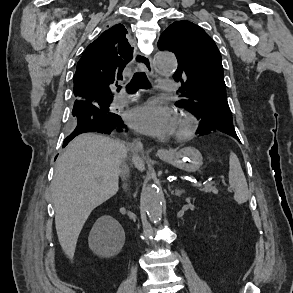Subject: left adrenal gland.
I'll use <instances>...</instances> for the list:
<instances>
[{"instance_id": "obj_1", "label": "left adrenal gland", "mask_w": 293, "mask_h": 293, "mask_svg": "<svg viewBox=\"0 0 293 293\" xmlns=\"http://www.w3.org/2000/svg\"><path fill=\"white\" fill-rule=\"evenodd\" d=\"M169 191L171 192L172 195H175V196H178V197H180L184 193V190H182V189H176L174 191V190H171L170 187H169Z\"/></svg>"}]
</instances>
